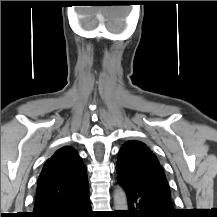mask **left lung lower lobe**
<instances>
[{
    "label": "left lung lower lobe",
    "mask_w": 217,
    "mask_h": 217,
    "mask_svg": "<svg viewBox=\"0 0 217 217\" xmlns=\"http://www.w3.org/2000/svg\"><path fill=\"white\" fill-rule=\"evenodd\" d=\"M118 181L133 208L124 213L126 217H175L177 215V211L173 209L172 198L129 186L119 178Z\"/></svg>",
    "instance_id": "1"
}]
</instances>
